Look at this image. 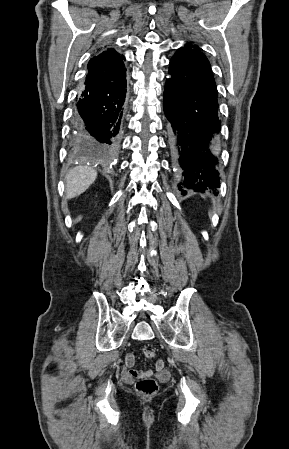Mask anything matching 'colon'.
<instances>
[{
	"label": "colon",
	"mask_w": 289,
	"mask_h": 449,
	"mask_svg": "<svg viewBox=\"0 0 289 449\" xmlns=\"http://www.w3.org/2000/svg\"><path fill=\"white\" fill-rule=\"evenodd\" d=\"M143 352L147 358H153L155 355L154 351L150 349H144ZM135 388L143 395H152L157 391L158 384L151 376L142 375L137 378Z\"/></svg>",
	"instance_id": "5ec220e1"
}]
</instances>
